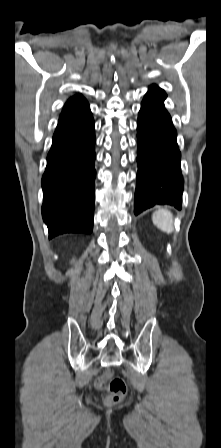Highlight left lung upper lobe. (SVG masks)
Listing matches in <instances>:
<instances>
[{
  "label": "left lung upper lobe",
  "mask_w": 221,
  "mask_h": 448,
  "mask_svg": "<svg viewBox=\"0 0 221 448\" xmlns=\"http://www.w3.org/2000/svg\"><path fill=\"white\" fill-rule=\"evenodd\" d=\"M152 87H153V88H156V89H158V90H162V89L158 88L156 85H153ZM162 91H163V90H162Z\"/></svg>",
  "instance_id": "obj_1"
}]
</instances>
